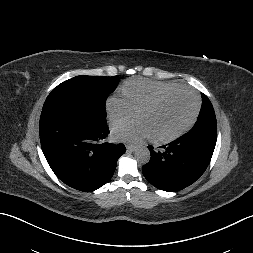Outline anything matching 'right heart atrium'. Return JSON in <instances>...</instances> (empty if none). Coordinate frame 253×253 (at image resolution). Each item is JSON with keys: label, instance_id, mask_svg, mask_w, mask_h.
Masks as SVG:
<instances>
[{"label": "right heart atrium", "instance_id": "obj_1", "mask_svg": "<svg viewBox=\"0 0 253 253\" xmlns=\"http://www.w3.org/2000/svg\"><path fill=\"white\" fill-rule=\"evenodd\" d=\"M106 110L111 125L126 123L135 115V111L128 102L124 98L116 96L110 97L106 101Z\"/></svg>", "mask_w": 253, "mask_h": 253}]
</instances>
